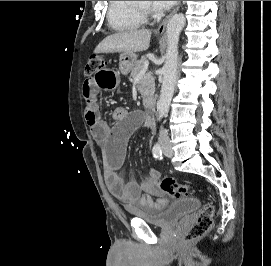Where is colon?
Segmentation results:
<instances>
[{"label": "colon", "mask_w": 271, "mask_h": 266, "mask_svg": "<svg viewBox=\"0 0 271 266\" xmlns=\"http://www.w3.org/2000/svg\"><path fill=\"white\" fill-rule=\"evenodd\" d=\"M107 59L100 55L92 56L87 64V74H93L96 70L107 65ZM156 186L160 191L173 197H180L190 193L191 187L188 184H181L169 177L159 178L156 181ZM214 206L206 204L199 213L194 224L187 230L185 234L186 241H194L204 236L213 225Z\"/></svg>", "instance_id": "obj_1"}]
</instances>
